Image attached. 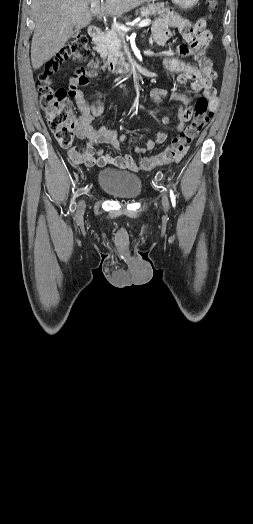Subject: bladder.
I'll return each instance as SVG.
<instances>
[{
  "instance_id": "1",
  "label": "bladder",
  "mask_w": 253,
  "mask_h": 524,
  "mask_svg": "<svg viewBox=\"0 0 253 524\" xmlns=\"http://www.w3.org/2000/svg\"><path fill=\"white\" fill-rule=\"evenodd\" d=\"M99 186L115 199L133 200L142 191L141 178L132 172L104 169L99 173Z\"/></svg>"
}]
</instances>
